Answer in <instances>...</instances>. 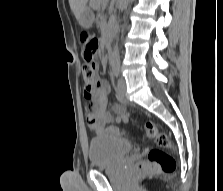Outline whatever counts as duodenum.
Instances as JSON below:
<instances>
[{"mask_svg": "<svg viewBox=\"0 0 223 191\" xmlns=\"http://www.w3.org/2000/svg\"><path fill=\"white\" fill-rule=\"evenodd\" d=\"M115 30H116V27H115V25L113 24V25L111 26V28L108 30V32H107V34H106V36H105V40H104V42H105V47H106L107 49H109L110 46H111V43H112L113 38H114V35H115Z\"/></svg>", "mask_w": 223, "mask_h": 191, "instance_id": "duodenum-1", "label": "duodenum"}]
</instances>
